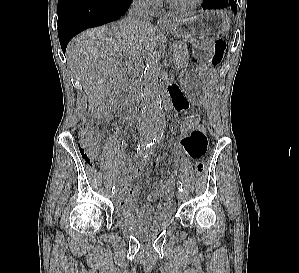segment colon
<instances>
[{
	"label": "colon",
	"instance_id": "obj_1",
	"mask_svg": "<svg viewBox=\"0 0 299 273\" xmlns=\"http://www.w3.org/2000/svg\"><path fill=\"white\" fill-rule=\"evenodd\" d=\"M226 51V42L217 40L214 43L212 54L209 58L211 64H218L222 61ZM200 113L198 111L189 112L179 123L181 138L189 136L195 129L200 127ZM78 148L81 156L91 164L98 162L100 155L99 135L90 122L83 123L78 131ZM206 169V162L198 160L194 165L195 174L201 176Z\"/></svg>",
	"mask_w": 299,
	"mask_h": 273
}]
</instances>
